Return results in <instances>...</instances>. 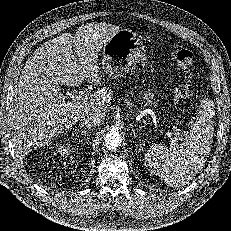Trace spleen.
<instances>
[{
    "instance_id": "3e777b00",
    "label": "spleen",
    "mask_w": 231,
    "mask_h": 231,
    "mask_svg": "<svg viewBox=\"0 0 231 231\" xmlns=\"http://www.w3.org/2000/svg\"><path fill=\"white\" fill-rule=\"evenodd\" d=\"M213 110L203 109L180 145L153 144L144 156L148 170L170 186L191 180L203 167L213 140Z\"/></svg>"
}]
</instances>
